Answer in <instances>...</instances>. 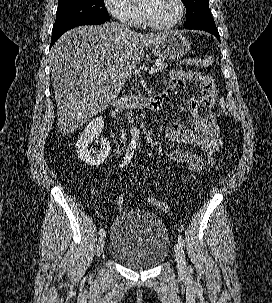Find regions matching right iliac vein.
<instances>
[{
  "label": "right iliac vein",
  "mask_w": 272,
  "mask_h": 303,
  "mask_svg": "<svg viewBox=\"0 0 272 303\" xmlns=\"http://www.w3.org/2000/svg\"><path fill=\"white\" fill-rule=\"evenodd\" d=\"M105 240H106V235L105 233L100 235L98 244H97V255L100 256L101 253L103 252L104 245H105Z\"/></svg>",
  "instance_id": "63e3f726"
}]
</instances>
